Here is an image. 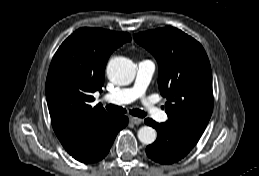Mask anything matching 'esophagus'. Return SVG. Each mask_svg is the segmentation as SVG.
<instances>
[{
	"label": "esophagus",
	"mask_w": 259,
	"mask_h": 176,
	"mask_svg": "<svg viewBox=\"0 0 259 176\" xmlns=\"http://www.w3.org/2000/svg\"><path fill=\"white\" fill-rule=\"evenodd\" d=\"M129 120L132 124H135V125H139L142 123V119L138 117H130Z\"/></svg>",
	"instance_id": "34e87169"
}]
</instances>
